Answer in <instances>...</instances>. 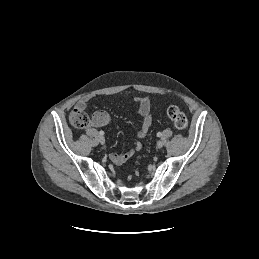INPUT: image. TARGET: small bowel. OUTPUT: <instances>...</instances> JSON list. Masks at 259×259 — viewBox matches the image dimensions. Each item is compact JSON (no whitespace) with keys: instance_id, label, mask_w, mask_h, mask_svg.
Returning a JSON list of instances; mask_svg holds the SVG:
<instances>
[{"instance_id":"c3829d8e","label":"small bowel","mask_w":259,"mask_h":259,"mask_svg":"<svg viewBox=\"0 0 259 259\" xmlns=\"http://www.w3.org/2000/svg\"><path fill=\"white\" fill-rule=\"evenodd\" d=\"M88 97L80 99L76 108L85 110ZM136 113L141 120V129L139 130L137 137L138 140L134 143L133 147L124 153H115L112 155V160L116 164L125 163L135 152L139 151L142 147L141 140L146 136L152 122L151 111L154 108L152 102L146 97H138L135 99ZM109 114L106 111L98 110L93 114L91 124L95 127L105 126L109 122Z\"/></svg>"}]
</instances>
